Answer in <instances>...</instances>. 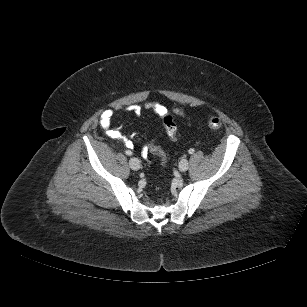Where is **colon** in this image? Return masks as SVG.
Returning <instances> with one entry per match:
<instances>
[{
  "instance_id": "1",
  "label": "colon",
  "mask_w": 307,
  "mask_h": 307,
  "mask_svg": "<svg viewBox=\"0 0 307 307\" xmlns=\"http://www.w3.org/2000/svg\"><path fill=\"white\" fill-rule=\"evenodd\" d=\"M163 123L166 130L167 135L175 140L177 138V127L171 115L165 114L163 116ZM207 125L212 129H218L222 126V120L218 116H208L206 118ZM148 150L156 155L161 157L163 160L165 159V153L163 149L158 145L156 140H151L148 145Z\"/></svg>"
}]
</instances>
